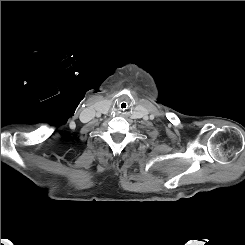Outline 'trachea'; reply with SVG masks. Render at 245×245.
Masks as SVG:
<instances>
[{"instance_id": "trachea-1", "label": "trachea", "mask_w": 245, "mask_h": 245, "mask_svg": "<svg viewBox=\"0 0 245 245\" xmlns=\"http://www.w3.org/2000/svg\"><path fill=\"white\" fill-rule=\"evenodd\" d=\"M129 102L128 101H121L119 104H118V109L120 111H127L129 109Z\"/></svg>"}]
</instances>
